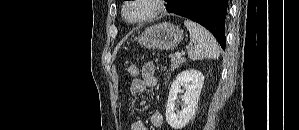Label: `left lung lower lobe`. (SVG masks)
Listing matches in <instances>:
<instances>
[{"label":"left lung lower lobe","mask_w":299,"mask_h":130,"mask_svg":"<svg viewBox=\"0 0 299 130\" xmlns=\"http://www.w3.org/2000/svg\"><path fill=\"white\" fill-rule=\"evenodd\" d=\"M227 0H169L167 11L189 18L207 28L225 49Z\"/></svg>","instance_id":"obj_1"}]
</instances>
